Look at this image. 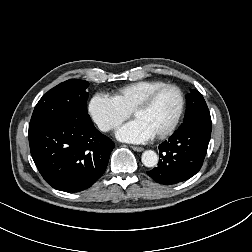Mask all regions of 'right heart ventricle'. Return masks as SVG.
Returning <instances> with one entry per match:
<instances>
[{
    "label": "right heart ventricle",
    "instance_id": "e07e8e85",
    "mask_svg": "<svg viewBox=\"0 0 252 252\" xmlns=\"http://www.w3.org/2000/svg\"><path fill=\"white\" fill-rule=\"evenodd\" d=\"M158 80H143L133 82L117 88L112 93V98L126 111L130 112L133 107L142 100L150 91L164 85Z\"/></svg>",
    "mask_w": 252,
    "mask_h": 252
}]
</instances>
